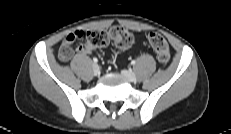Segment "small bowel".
I'll use <instances>...</instances> for the list:
<instances>
[{"label": "small bowel", "mask_w": 231, "mask_h": 134, "mask_svg": "<svg viewBox=\"0 0 231 134\" xmlns=\"http://www.w3.org/2000/svg\"><path fill=\"white\" fill-rule=\"evenodd\" d=\"M78 31L79 30L69 33L63 40L61 47L59 49V59L61 61L66 62L72 57L73 55L72 45L74 41L78 39V37L75 36ZM76 51L80 54H87V55L93 54L92 49L87 44L79 45Z\"/></svg>", "instance_id": "obj_1"}]
</instances>
